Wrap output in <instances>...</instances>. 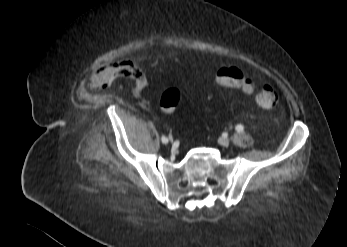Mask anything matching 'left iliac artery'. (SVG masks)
Instances as JSON below:
<instances>
[{
    "label": "left iliac artery",
    "mask_w": 347,
    "mask_h": 247,
    "mask_svg": "<svg viewBox=\"0 0 347 247\" xmlns=\"http://www.w3.org/2000/svg\"><path fill=\"white\" fill-rule=\"evenodd\" d=\"M235 129H236L237 132H243L244 131V126L241 125V124H238Z\"/></svg>",
    "instance_id": "44dca946"
}]
</instances>
